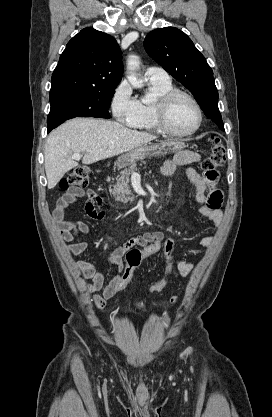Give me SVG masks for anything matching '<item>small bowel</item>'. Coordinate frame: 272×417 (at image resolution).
Returning a JSON list of instances; mask_svg holds the SVG:
<instances>
[{
	"instance_id": "obj_1",
	"label": "small bowel",
	"mask_w": 272,
	"mask_h": 417,
	"mask_svg": "<svg viewBox=\"0 0 272 417\" xmlns=\"http://www.w3.org/2000/svg\"><path fill=\"white\" fill-rule=\"evenodd\" d=\"M201 155L197 152L184 150L174 155L170 160H167L161 167V173L164 176L173 175L179 166H187L191 163L199 162ZM185 176L195 186V199L200 204L198 212L211 221L215 226H218L222 220L221 205L223 196L221 191L217 188L219 182V173L217 171L206 172L199 174L193 168H186L184 170ZM86 198L84 205L85 213L91 219L99 220L103 217L102 197L95 193L92 189H83L78 187L68 188L64 194L56 202L53 216L57 223L60 237L66 241V250L71 255H81L89 250V245L86 242L75 241L79 234L89 233V226L76 220L66 219L67 208L73 204L78 198ZM157 237H164L161 231H149L142 235L133 237L126 241L123 245L113 249L108 255V262L116 268L114 275L109 283L104 285V276L98 270V265L95 262L78 261L76 267L79 270L83 279L91 280L85 285L88 293H96L102 290L101 295H93L92 302L97 308H102L106 301L116 294V285L120 280L125 264L123 257L133 247L140 242L154 239ZM213 243V238L205 236L199 239L198 244L201 247L207 248ZM178 274L182 277H187L194 265L184 259H178L175 263Z\"/></svg>"
}]
</instances>
